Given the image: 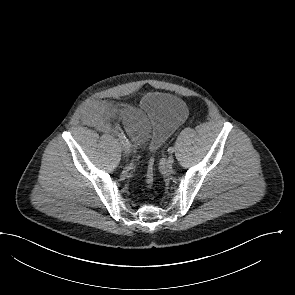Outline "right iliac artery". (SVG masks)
<instances>
[{
    "label": "right iliac artery",
    "mask_w": 295,
    "mask_h": 295,
    "mask_svg": "<svg viewBox=\"0 0 295 295\" xmlns=\"http://www.w3.org/2000/svg\"><path fill=\"white\" fill-rule=\"evenodd\" d=\"M118 136H119V139L121 140L122 144L129 143L128 140L126 139L125 135L119 134Z\"/></svg>",
    "instance_id": "1"
}]
</instances>
